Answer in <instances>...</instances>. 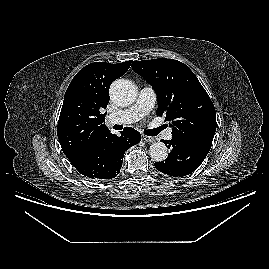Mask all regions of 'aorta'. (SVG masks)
<instances>
[{
  "label": "aorta",
  "mask_w": 269,
  "mask_h": 269,
  "mask_svg": "<svg viewBox=\"0 0 269 269\" xmlns=\"http://www.w3.org/2000/svg\"><path fill=\"white\" fill-rule=\"evenodd\" d=\"M111 100L118 106H127L134 102L136 98L135 85L125 79H119L112 83L110 87ZM150 157L156 161H164L168 156V148L162 142H154L149 149Z\"/></svg>",
  "instance_id": "obj_1"
}]
</instances>
